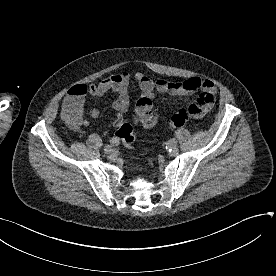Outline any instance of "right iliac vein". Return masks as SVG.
Masks as SVG:
<instances>
[{"label":"right iliac vein","mask_w":276,"mask_h":276,"mask_svg":"<svg viewBox=\"0 0 276 276\" xmlns=\"http://www.w3.org/2000/svg\"><path fill=\"white\" fill-rule=\"evenodd\" d=\"M104 151L109 154V153L113 152V147L111 145H106L104 147Z\"/></svg>","instance_id":"63e3f726"}]
</instances>
